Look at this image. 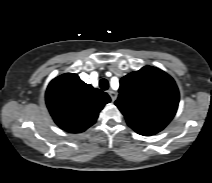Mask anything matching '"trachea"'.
Segmentation results:
<instances>
[{
	"instance_id": "1",
	"label": "trachea",
	"mask_w": 212,
	"mask_h": 183,
	"mask_svg": "<svg viewBox=\"0 0 212 183\" xmlns=\"http://www.w3.org/2000/svg\"><path fill=\"white\" fill-rule=\"evenodd\" d=\"M99 86L102 90H108L109 82L107 81V79H101L99 82Z\"/></svg>"
}]
</instances>
